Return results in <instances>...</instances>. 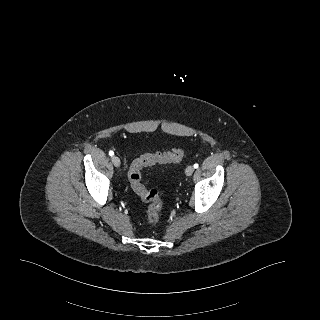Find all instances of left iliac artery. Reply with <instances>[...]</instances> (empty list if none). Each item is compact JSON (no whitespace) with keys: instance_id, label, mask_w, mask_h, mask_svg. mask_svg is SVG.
I'll list each match as a JSON object with an SVG mask.
<instances>
[{"instance_id":"obj_1","label":"left iliac artery","mask_w":320,"mask_h":320,"mask_svg":"<svg viewBox=\"0 0 320 320\" xmlns=\"http://www.w3.org/2000/svg\"><path fill=\"white\" fill-rule=\"evenodd\" d=\"M199 165L197 163L194 164V168H198Z\"/></svg>"}]
</instances>
